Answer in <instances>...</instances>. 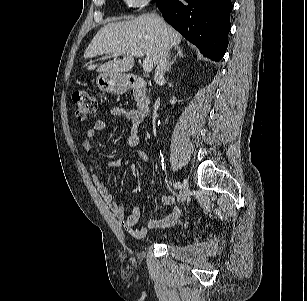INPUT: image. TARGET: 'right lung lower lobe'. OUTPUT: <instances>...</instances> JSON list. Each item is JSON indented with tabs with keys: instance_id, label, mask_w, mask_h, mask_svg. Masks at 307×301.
Wrapping results in <instances>:
<instances>
[{
	"instance_id": "98d812e1",
	"label": "right lung lower lobe",
	"mask_w": 307,
	"mask_h": 301,
	"mask_svg": "<svg viewBox=\"0 0 307 301\" xmlns=\"http://www.w3.org/2000/svg\"><path fill=\"white\" fill-rule=\"evenodd\" d=\"M164 19L206 57L223 58L230 31L231 0H159Z\"/></svg>"
}]
</instances>
